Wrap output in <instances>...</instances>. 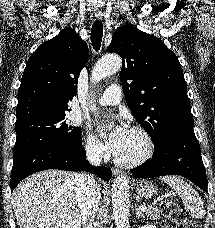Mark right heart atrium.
<instances>
[{
	"mask_svg": "<svg viewBox=\"0 0 215 228\" xmlns=\"http://www.w3.org/2000/svg\"><path fill=\"white\" fill-rule=\"evenodd\" d=\"M82 143L85 155L94 162L101 161L106 153V147L100 143L89 130L82 132Z\"/></svg>",
	"mask_w": 215,
	"mask_h": 228,
	"instance_id": "d8ad5b80",
	"label": "right heart atrium"
}]
</instances>
